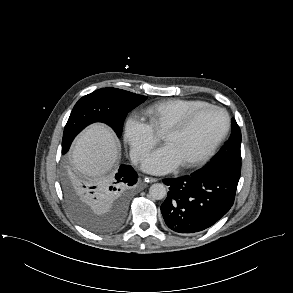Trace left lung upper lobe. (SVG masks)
Returning <instances> with one entry per match:
<instances>
[{
	"label": "left lung upper lobe",
	"mask_w": 293,
	"mask_h": 293,
	"mask_svg": "<svg viewBox=\"0 0 293 293\" xmlns=\"http://www.w3.org/2000/svg\"><path fill=\"white\" fill-rule=\"evenodd\" d=\"M241 131L235 119H232V133L219 153L204 168H215L236 177L241 173Z\"/></svg>",
	"instance_id": "left-lung-upper-lobe-1"
}]
</instances>
